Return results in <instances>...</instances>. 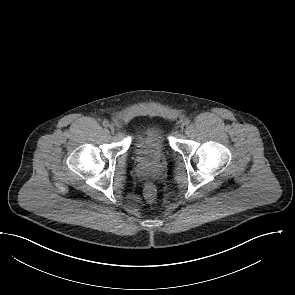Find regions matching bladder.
Instances as JSON below:
<instances>
[{
    "instance_id": "1",
    "label": "bladder",
    "mask_w": 295,
    "mask_h": 295,
    "mask_svg": "<svg viewBox=\"0 0 295 295\" xmlns=\"http://www.w3.org/2000/svg\"><path fill=\"white\" fill-rule=\"evenodd\" d=\"M167 139L164 128L156 122H149L132 136V153L142 163L160 160L166 151Z\"/></svg>"
}]
</instances>
